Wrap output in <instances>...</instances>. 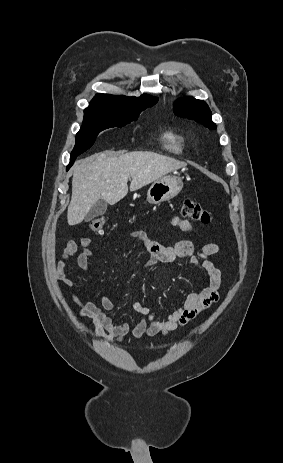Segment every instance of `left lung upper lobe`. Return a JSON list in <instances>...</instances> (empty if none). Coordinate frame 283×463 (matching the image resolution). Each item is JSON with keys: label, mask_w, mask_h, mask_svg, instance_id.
I'll list each match as a JSON object with an SVG mask.
<instances>
[{"label": "left lung upper lobe", "mask_w": 283, "mask_h": 463, "mask_svg": "<svg viewBox=\"0 0 283 463\" xmlns=\"http://www.w3.org/2000/svg\"><path fill=\"white\" fill-rule=\"evenodd\" d=\"M174 111L175 114L193 119L209 129H215L216 127L215 123L211 120L212 113L208 105L202 100L185 97L177 101Z\"/></svg>", "instance_id": "1"}]
</instances>
